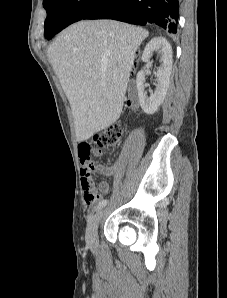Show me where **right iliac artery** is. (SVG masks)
Instances as JSON below:
<instances>
[{
  "mask_svg": "<svg viewBox=\"0 0 227 298\" xmlns=\"http://www.w3.org/2000/svg\"><path fill=\"white\" fill-rule=\"evenodd\" d=\"M106 204H107V200H105V199L101 200V201L99 202V204L97 205L96 210H100V209H102L103 207L106 206Z\"/></svg>",
  "mask_w": 227,
  "mask_h": 298,
  "instance_id": "right-iliac-artery-1",
  "label": "right iliac artery"
}]
</instances>
